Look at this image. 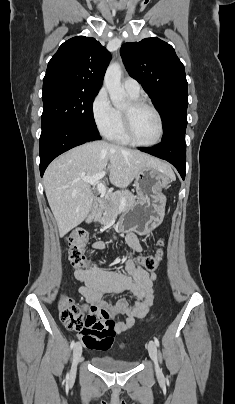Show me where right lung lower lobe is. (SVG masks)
Returning <instances> with one entry per match:
<instances>
[{
	"instance_id": "right-lung-lower-lobe-1",
	"label": "right lung lower lobe",
	"mask_w": 235,
	"mask_h": 404,
	"mask_svg": "<svg viewBox=\"0 0 235 404\" xmlns=\"http://www.w3.org/2000/svg\"><path fill=\"white\" fill-rule=\"evenodd\" d=\"M101 139L98 132L63 124L42 129L40 136V173L65 151L89 141Z\"/></svg>"
}]
</instances>
